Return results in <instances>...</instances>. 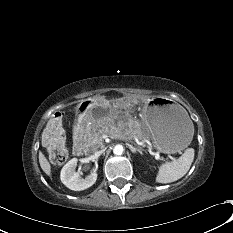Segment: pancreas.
<instances>
[{
	"mask_svg": "<svg viewBox=\"0 0 233 233\" xmlns=\"http://www.w3.org/2000/svg\"><path fill=\"white\" fill-rule=\"evenodd\" d=\"M121 130L122 126L116 127L111 119L87 125L84 134L85 145L91 150L103 147V135H109L122 140L133 138L135 135L141 140L147 138V135L139 125L135 128L127 129L126 133H123Z\"/></svg>",
	"mask_w": 233,
	"mask_h": 233,
	"instance_id": "cf45deb5",
	"label": "pancreas"
}]
</instances>
